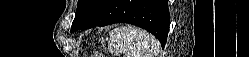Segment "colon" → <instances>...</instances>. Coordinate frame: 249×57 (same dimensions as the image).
I'll return each instance as SVG.
<instances>
[{"label":"colon","mask_w":249,"mask_h":57,"mask_svg":"<svg viewBox=\"0 0 249 57\" xmlns=\"http://www.w3.org/2000/svg\"><path fill=\"white\" fill-rule=\"evenodd\" d=\"M95 56H96V57H102L103 55L100 54V53H97Z\"/></svg>","instance_id":"1"}]
</instances>
